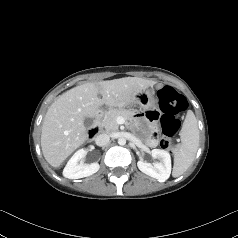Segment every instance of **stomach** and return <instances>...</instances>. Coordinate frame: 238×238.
Masks as SVG:
<instances>
[{"instance_id":"1","label":"stomach","mask_w":238,"mask_h":238,"mask_svg":"<svg viewBox=\"0 0 238 238\" xmlns=\"http://www.w3.org/2000/svg\"><path fill=\"white\" fill-rule=\"evenodd\" d=\"M155 106H156V99L153 95L152 90L148 88L143 89L140 93H138L135 97L134 102L131 100L128 101L121 100L117 104L118 109L121 111L124 110L131 111L134 109V107H138L140 110L147 111L149 108Z\"/></svg>"}]
</instances>
